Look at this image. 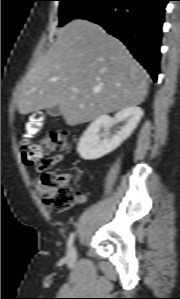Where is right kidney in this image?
Returning <instances> with one entry per match:
<instances>
[{"label":"right kidney","mask_w":180,"mask_h":299,"mask_svg":"<svg viewBox=\"0 0 180 299\" xmlns=\"http://www.w3.org/2000/svg\"><path fill=\"white\" fill-rule=\"evenodd\" d=\"M142 116L143 110L137 106L124 108L117 112L114 117L99 116L80 138L77 147L79 155L85 160H95L112 152L131 135ZM121 121L124 122V126L115 135L110 136L107 132L100 134L101 128L106 130Z\"/></svg>","instance_id":"right-kidney-1"}]
</instances>
